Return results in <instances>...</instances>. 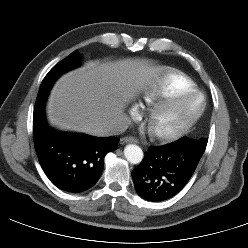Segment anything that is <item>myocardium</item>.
Instances as JSON below:
<instances>
[{
  "mask_svg": "<svg viewBox=\"0 0 248 248\" xmlns=\"http://www.w3.org/2000/svg\"><path fill=\"white\" fill-rule=\"evenodd\" d=\"M195 94H198L202 97V104L194 114H192L190 117H188L185 121L180 123L177 127H175L172 130L162 132L154 129V124L157 120L165 117L170 112H172L182 100ZM206 105H207L206 96L200 90L189 89L173 94L171 96L164 98L163 100H161L160 102L154 105L146 120L147 127L149 128L150 132L157 140L164 142L177 140L183 137L186 133H188L189 130L202 117L203 113L205 112Z\"/></svg>",
  "mask_w": 248,
  "mask_h": 248,
  "instance_id": "myocardium-1",
  "label": "myocardium"
}]
</instances>
